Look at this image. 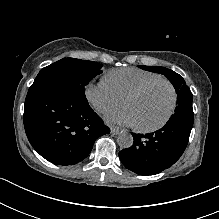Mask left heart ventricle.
<instances>
[{
  "mask_svg": "<svg viewBox=\"0 0 219 219\" xmlns=\"http://www.w3.org/2000/svg\"><path fill=\"white\" fill-rule=\"evenodd\" d=\"M170 102V87L166 83H158L139 96L128 100L125 108L135 115L137 126L150 127L163 120Z\"/></svg>",
  "mask_w": 219,
  "mask_h": 219,
  "instance_id": "obj_1",
  "label": "left heart ventricle"
}]
</instances>
